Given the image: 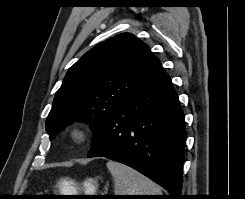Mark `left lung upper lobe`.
Instances as JSON below:
<instances>
[{"label":"left lung upper lobe","instance_id":"left-lung-upper-lobe-1","mask_svg":"<svg viewBox=\"0 0 245 199\" xmlns=\"http://www.w3.org/2000/svg\"><path fill=\"white\" fill-rule=\"evenodd\" d=\"M161 63L149 47L129 33L99 43L67 72L46 121L52 139L73 121L90 124L101 137L109 116L138 93L156 74Z\"/></svg>","mask_w":245,"mask_h":199}]
</instances>
